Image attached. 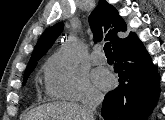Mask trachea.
<instances>
[{
	"label": "trachea",
	"mask_w": 165,
	"mask_h": 120,
	"mask_svg": "<svg viewBox=\"0 0 165 120\" xmlns=\"http://www.w3.org/2000/svg\"><path fill=\"white\" fill-rule=\"evenodd\" d=\"M104 52H105V54H113L110 42L105 43V45H104Z\"/></svg>",
	"instance_id": "1"
}]
</instances>
